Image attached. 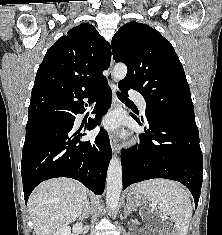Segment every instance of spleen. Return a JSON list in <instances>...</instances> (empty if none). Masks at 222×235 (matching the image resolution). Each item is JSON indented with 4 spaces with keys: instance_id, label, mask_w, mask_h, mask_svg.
Here are the masks:
<instances>
[{
    "instance_id": "obj_1",
    "label": "spleen",
    "mask_w": 222,
    "mask_h": 235,
    "mask_svg": "<svg viewBox=\"0 0 222 235\" xmlns=\"http://www.w3.org/2000/svg\"><path fill=\"white\" fill-rule=\"evenodd\" d=\"M136 189L147 200L159 203V210L175 223L178 235H187L192 217V204L188 193L172 180L153 179L140 182Z\"/></svg>"
}]
</instances>
